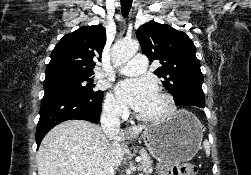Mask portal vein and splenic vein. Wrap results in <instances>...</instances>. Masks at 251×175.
I'll return each instance as SVG.
<instances>
[{
    "mask_svg": "<svg viewBox=\"0 0 251 175\" xmlns=\"http://www.w3.org/2000/svg\"><path fill=\"white\" fill-rule=\"evenodd\" d=\"M141 157H136V161H140ZM84 175H90V173H84Z\"/></svg>",
    "mask_w": 251,
    "mask_h": 175,
    "instance_id": "obj_1",
    "label": "portal vein and splenic vein"
}]
</instances>
